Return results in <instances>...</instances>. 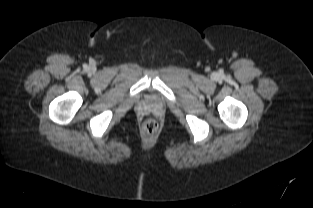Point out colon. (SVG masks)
I'll use <instances>...</instances> for the list:
<instances>
[{
	"label": "colon",
	"mask_w": 313,
	"mask_h": 208,
	"mask_svg": "<svg viewBox=\"0 0 313 208\" xmlns=\"http://www.w3.org/2000/svg\"><path fill=\"white\" fill-rule=\"evenodd\" d=\"M159 125L156 120L148 119L142 125V130L146 135H154L158 131Z\"/></svg>",
	"instance_id": "1"
}]
</instances>
